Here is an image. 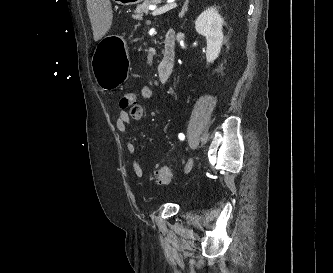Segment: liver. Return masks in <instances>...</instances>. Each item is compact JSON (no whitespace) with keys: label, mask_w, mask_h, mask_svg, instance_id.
Instances as JSON below:
<instances>
[{"label":"liver","mask_w":333,"mask_h":273,"mask_svg":"<svg viewBox=\"0 0 333 273\" xmlns=\"http://www.w3.org/2000/svg\"><path fill=\"white\" fill-rule=\"evenodd\" d=\"M94 40H100L110 29L113 12L110 0H86Z\"/></svg>","instance_id":"obj_1"}]
</instances>
